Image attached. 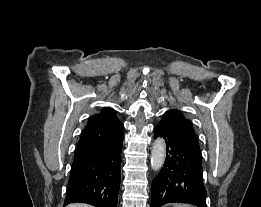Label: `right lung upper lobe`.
<instances>
[{
    "mask_svg": "<svg viewBox=\"0 0 261 207\" xmlns=\"http://www.w3.org/2000/svg\"><path fill=\"white\" fill-rule=\"evenodd\" d=\"M123 137V124L111 108L91 116L78 141L75 154L112 144Z\"/></svg>",
    "mask_w": 261,
    "mask_h": 207,
    "instance_id": "right-lung-upper-lobe-1",
    "label": "right lung upper lobe"
}]
</instances>
